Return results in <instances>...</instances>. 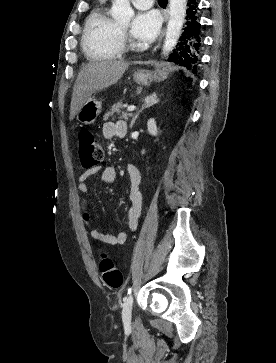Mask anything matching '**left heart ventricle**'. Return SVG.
Returning <instances> with one entry per match:
<instances>
[{"instance_id": "left-heart-ventricle-1", "label": "left heart ventricle", "mask_w": 276, "mask_h": 363, "mask_svg": "<svg viewBox=\"0 0 276 363\" xmlns=\"http://www.w3.org/2000/svg\"><path fill=\"white\" fill-rule=\"evenodd\" d=\"M130 26V24H123L121 27L124 28V29H127L128 27Z\"/></svg>"}]
</instances>
